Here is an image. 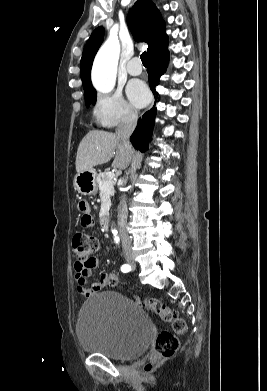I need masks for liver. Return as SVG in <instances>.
<instances>
[{
	"instance_id": "liver-1",
	"label": "liver",
	"mask_w": 267,
	"mask_h": 391,
	"mask_svg": "<svg viewBox=\"0 0 267 391\" xmlns=\"http://www.w3.org/2000/svg\"><path fill=\"white\" fill-rule=\"evenodd\" d=\"M133 150L128 153L121 145L116 134L92 130L81 140L76 155V171L91 170L93 167L109 162L114 156L112 167L123 170L131 160Z\"/></svg>"
}]
</instances>
